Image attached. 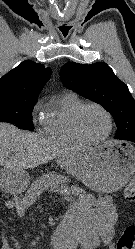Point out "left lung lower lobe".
<instances>
[{"label":"left lung lower lobe","mask_w":135,"mask_h":249,"mask_svg":"<svg viewBox=\"0 0 135 249\" xmlns=\"http://www.w3.org/2000/svg\"><path fill=\"white\" fill-rule=\"evenodd\" d=\"M128 141H132V142H135V138H133V139H130V140H128Z\"/></svg>","instance_id":"1"}]
</instances>
